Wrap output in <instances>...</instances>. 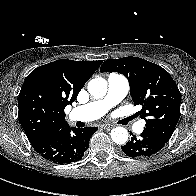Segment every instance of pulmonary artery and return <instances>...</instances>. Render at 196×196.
Returning <instances> with one entry per match:
<instances>
[{
	"label": "pulmonary artery",
	"instance_id": "pulmonary-artery-1",
	"mask_svg": "<svg viewBox=\"0 0 196 196\" xmlns=\"http://www.w3.org/2000/svg\"><path fill=\"white\" fill-rule=\"evenodd\" d=\"M107 93L96 101L75 107L70 112V119L73 121H93L106 114L113 106L121 102L127 95L129 83L125 76L112 73L107 78ZM142 130V123L135 126V131Z\"/></svg>",
	"mask_w": 196,
	"mask_h": 196
}]
</instances>
